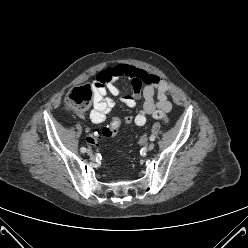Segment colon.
Masks as SVG:
<instances>
[{
	"label": "colon",
	"mask_w": 248,
	"mask_h": 248,
	"mask_svg": "<svg viewBox=\"0 0 248 248\" xmlns=\"http://www.w3.org/2000/svg\"><path fill=\"white\" fill-rule=\"evenodd\" d=\"M95 90L94 86L92 87L89 84H83L78 87H75L66 97V107L67 109L75 114H83L90 106L91 101L94 99ZM153 117L159 120H162L164 123H168L169 119L167 115L163 112L156 111L153 114ZM124 126L133 127L134 119L132 115L124 116ZM120 127V120L115 118L111 123L103 129V135L108 137L115 135L118 132ZM101 138V133L97 129H89L85 133V140L90 145H95Z\"/></svg>",
	"instance_id": "5ec220e1"
}]
</instances>
